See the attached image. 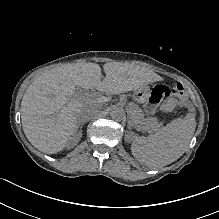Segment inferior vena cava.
Listing matches in <instances>:
<instances>
[{
  "label": "inferior vena cava",
  "mask_w": 219,
  "mask_h": 219,
  "mask_svg": "<svg viewBox=\"0 0 219 219\" xmlns=\"http://www.w3.org/2000/svg\"><path fill=\"white\" fill-rule=\"evenodd\" d=\"M96 109L93 106H86L78 111V118L81 121H88L96 116Z\"/></svg>",
  "instance_id": "obj_1"
}]
</instances>
